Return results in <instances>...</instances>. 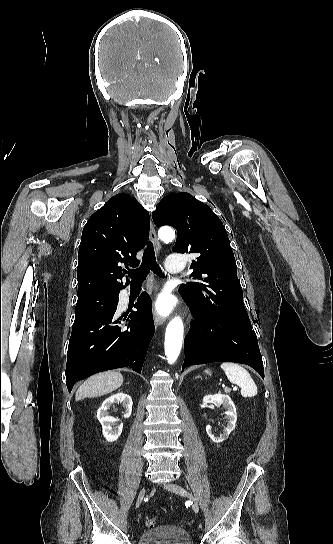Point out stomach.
Wrapping results in <instances>:
<instances>
[{"label":"stomach","mask_w":333,"mask_h":544,"mask_svg":"<svg viewBox=\"0 0 333 544\" xmlns=\"http://www.w3.org/2000/svg\"><path fill=\"white\" fill-rule=\"evenodd\" d=\"M205 373L208 374V375H211V371H210V370H205Z\"/></svg>","instance_id":"0dacf381"}]
</instances>
